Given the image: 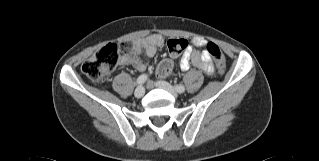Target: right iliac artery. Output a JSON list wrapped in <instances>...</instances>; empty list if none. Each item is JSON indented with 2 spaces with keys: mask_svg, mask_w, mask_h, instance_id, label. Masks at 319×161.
Instances as JSON below:
<instances>
[{
  "mask_svg": "<svg viewBox=\"0 0 319 161\" xmlns=\"http://www.w3.org/2000/svg\"><path fill=\"white\" fill-rule=\"evenodd\" d=\"M148 79V75L147 74H142L138 77L137 79V84L142 85L143 83H145V81Z\"/></svg>",
  "mask_w": 319,
  "mask_h": 161,
  "instance_id": "82829eb1",
  "label": "right iliac artery"
}]
</instances>
